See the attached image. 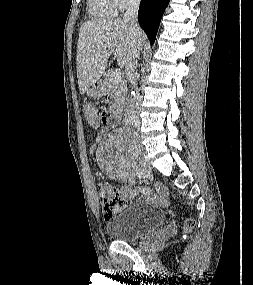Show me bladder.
I'll return each instance as SVG.
<instances>
[{
  "instance_id": "31cf9c89",
  "label": "bladder",
  "mask_w": 253,
  "mask_h": 285,
  "mask_svg": "<svg viewBox=\"0 0 253 285\" xmlns=\"http://www.w3.org/2000/svg\"><path fill=\"white\" fill-rule=\"evenodd\" d=\"M165 219V212L160 208L129 204L115 213L105 230L113 240L132 242L161 226Z\"/></svg>"
}]
</instances>
